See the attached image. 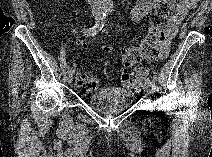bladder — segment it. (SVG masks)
I'll use <instances>...</instances> for the list:
<instances>
[{
	"label": "bladder",
	"instance_id": "31cf9c89",
	"mask_svg": "<svg viewBox=\"0 0 212 157\" xmlns=\"http://www.w3.org/2000/svg\"><path fill=\"white\" fill-rule=\"evenodd\" d=\"M135 95L118 87H106L88 97V105L100 113H114L129 108Z\"/></svg>",
	"mask_w": 212,
	"mask_h": 157
}]
</instances>
